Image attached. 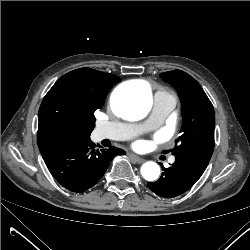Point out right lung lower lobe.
I'll return each mask as SVG.
<instances>
[{
    "label": "right lung lower lobe",
    "instance_id": "98d812e1",
    "mask_svg": "<svg viewBox=\"0 0 250 250\" xmlns=\"http://www.w3.org/2000/svg\"><path fill=\"white\" fill-rule=\"evenodd\" d=\"M90 136L75 137L43 146L42 157L53 177L70 191L82 193L102 178L111 160L122 149L95 150Z\"/></svg>",
    "mask_w": 250,
    "mask_h": 250
}]
</instances>
